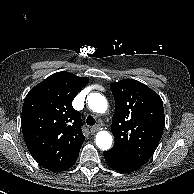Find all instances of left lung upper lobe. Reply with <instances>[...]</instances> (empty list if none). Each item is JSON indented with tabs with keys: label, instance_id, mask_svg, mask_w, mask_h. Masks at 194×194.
<instances>
[{
	"label": "left lung upper lobe",
	"instance_id": "1",
	"mask_svg": "<svg viewBox=\"0 0 194 194\" xmlns=\"http://www.w3.org/2000/svg\"><path fill=\"white\" fill-rule=\"evenodd\" d=\"M110 89L116 105L111 124L115 144L108 151L143 166L162 137L163 102L156 92L134 79L111 83Z\"/></svg>",
	"mask_w": 194,
	"mask_h": 194
}]
</instances>
